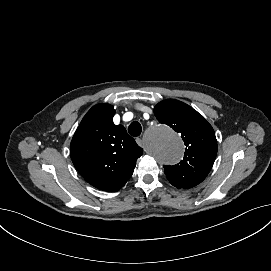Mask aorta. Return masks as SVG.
<instances>
[{"instance_id": "1", "label": "aorta", "mask_w": 271, "mask_h": 271, "mask_svg": "<svg viewBox=\"0 0 271 271\" xmlns=\"http://www.w3.org/2000/svg\"><path fill=\"white\" fill-rule=\"evenodd\" d=\"M147 150L165 164L178 163L184 155L181 138L168 126H159L146 134Z\"/></svg>"}]
</instances>
